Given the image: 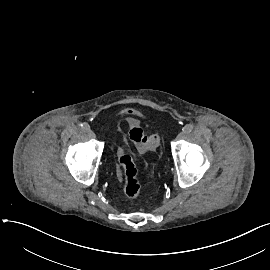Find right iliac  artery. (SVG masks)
I'll list each match as a JSON object with an SVG mask.
<instances>
[{
	"instance_id": "right-iliac-artery-1",
	"label": "right iliac artery",
	"mask_w": 270,
	"mask_h": 270,
	"mask_svg": "<svg viewBox=\"0 0 270 270\" xmlns=\"http://www.w3.org/2000/svg\"><path fill=\"white\" fill-rule=\"evenodd\" d=\"M81 128L84 132H88L90 130V126L87 123H83Z\"/></svg>"
}]
</instances>
